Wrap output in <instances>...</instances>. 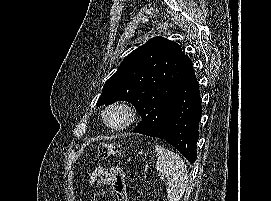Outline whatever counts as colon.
<instances>
[{"label": "colon", "mask_w": 271, "mask_h": 201, "mask_svg": "<svg viewBox=\"0 0 271 201\" xmlns=\"http://www.w3.org/2000/svg\"><path fill=\"white\" fill-rule=\"evenodd\" d=\"M121 152V146L119 143H102L98 147V156L100 158H108L113 155H117Z\"/></svg>", "instance_id": "obj_1"}]
</instances>
